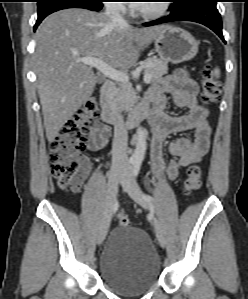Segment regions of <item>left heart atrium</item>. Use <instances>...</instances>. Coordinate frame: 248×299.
Wrapping results in <instances>:
<instances>
[{
  "mask_svg": "<svg viewBox=\"0 0 248 299\" xmlns=\"http://www.w3.org/2000/svg\"><path fill=\"white\" fill-rule=\"evenodd\" d=\"M134 2H139V1H134ZM132 5H133V6H136V7H140V6H142V4H140V3H133Z\"/></svg>",
  "mask_w": 248,
  "mask_h": 299,
  "instance_id": "obj_1",
  "label": "left heart atrium"
}]
</instances>
